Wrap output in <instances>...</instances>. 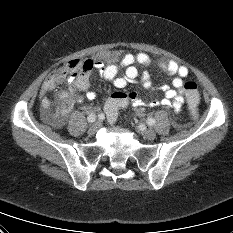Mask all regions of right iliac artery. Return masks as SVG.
<instances>
[{
  "instance_id": "1",
  "label": "right iliac artery",
  "mask_w": 233,
  "mask_h": 233,
  "mask_svg": "<svg viewBox=\"0 0 233 233\" xmlns=\"http://www.w3.org/2000/svg\"><path fill=\"white\" fill-rule=\"evenodd\" d=\"M95 117H96V115L93 114V113H91V114L87 117L88 122H90V123L95 122Z\"/></svg>"
}]
</instances>
